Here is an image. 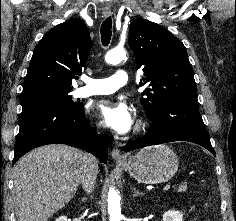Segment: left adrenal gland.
I'll use <instances>...</instances> for the list:
<instances>
[{
  "instance_id": "a2214340",
  "label": "left adrenal gland",
  "mask_w": 236,
  "mask_h": 221,
  "mask_svg": "<svg viewBox=\"0 0 236 221\" xmlns=\"http://www.w3.org/2000/svg\"><path fill=\"white\" fill-rule=\"evenodd\" d=\"M132 192H133V197L144 195L143 192H140L139 190H136V187L132 188Z\"/></svg>"
}]
</instances>
